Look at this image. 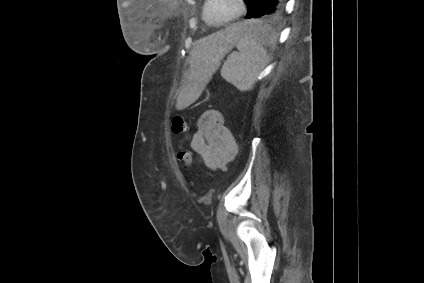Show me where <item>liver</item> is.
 Returning <instances> with one entry per match:
<instances>
[{
	"label": "liver",
	"mask_w": 424,
	"mask_h": 283,
	"mask_svg": "<svg viewBox=\"0 0 424 283\" xmlns=\"http://www.w3.org/2000/svg\"><path fill=\"white\" fill-rule=\"evenodd\" d=\"M246 28L234 24L195 42L190 52V74L179 92L176 109L182 110L200 95L206 82L219 66L220 60L244 36Z\"/></svg>",
	"instance_id": "obj_1"
}]
</instances>
